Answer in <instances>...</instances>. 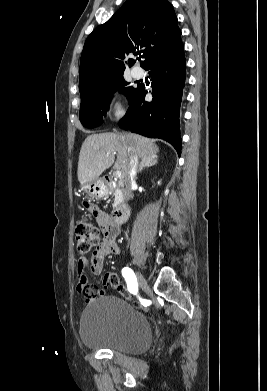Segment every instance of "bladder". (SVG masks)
<instances>
[{
    "label": "bladder",
    "mask_w": 267,
    "mask_h": 391,
    "mask_svg": "<svg viewBox=\"0 0 267 391\" xmlns=\"http://www.w3.org/2000/svg\"><path fill=\"white\" fill-rule=\"evenodd\" d=\"M79 335L88 348L130 355L143 353L152 341L146 316L124 299L112 295L98 298L85 307Z\"/></svg>",
    "instance_id": "31cf9c89"
}]
</instances>
